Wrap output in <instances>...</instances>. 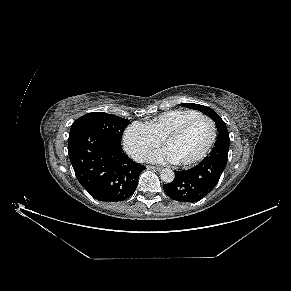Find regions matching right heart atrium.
<instances>
[{
	"label": "right heart atrium",
	"mask_w": 291,
	"mask_h": 291,
	"mask_svg": "<svg viewBox=\"0 0 291 291\" xmlns=\"http://www.w3.org/2000/svg\"><path fill=\"white\" fill-rule=\"evenodd\" d=\"M160 144L161 140L142 123H133L125 130L124 147L137 161L144 160L148 153Z\"/></svg>",
	"instance_id": "obj_1"
}]
</instances>
